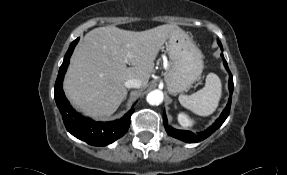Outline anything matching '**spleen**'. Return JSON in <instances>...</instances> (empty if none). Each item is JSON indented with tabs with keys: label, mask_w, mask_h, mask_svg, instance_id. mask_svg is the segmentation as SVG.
Returning <instances> with one entry per match:
<instances>
[{
	"label": "spleen",
	"mask_w": 287,
	"mask_h": 175,
	"mask_svg": "<svg viewBox=\"0 0 287 175\" xmlns=\"http://www.w3.org/2000/svg\"><path fill=\"white\" fill-rule=\"evenodd\" d=\"M221 94L222 85L219 77L214 73H209L202 89L189 96L180 95L179 102L195 114L208 116L217 109Z\"/></svg>",
	"instance_id": "spleen-1"
}]
</instances>
